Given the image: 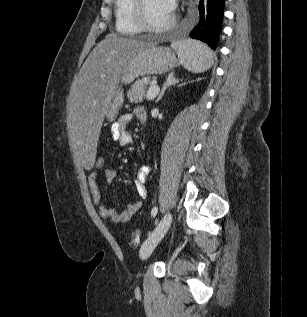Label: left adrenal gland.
<instances>
[{"label":"left adrenal gland","instance_id":"a2214340","mask_svg":"<svg viewBox=\"0 0 307 317\" xmlns=\"http://www.w3.org/2000/svg\"><path fill=\"white\" fill-rule=\"evenodd\" d=\"M182 81V80H181ZM176 83H179V79L175 78L174 76V73H171L170 75H168L166 81L164 82L163 84V87H162V90H161V93L159 94L158 98L156 99L155 102H159L162 97L164 96L165 94V91L171 87L172 85H175Z\"/></svg>","mask_w":307,"mask_h":317}]
</instances>
